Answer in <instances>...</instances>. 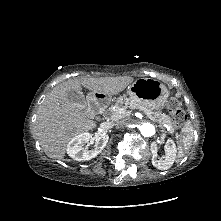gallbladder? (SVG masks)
I'll return each instance as SVG.
<instances>
[{
    "mask_svg": "<svg viewBox=\"0 0 221 221\" xmlns=\"http://www.w3.org/2000/svg\"><path fill=\"white\" fill-rule=\"evenodd\" d=\"M67 98L69 101L79 104H84L86 102L83 94L73 90L67 93Z\"/></svg>",
    "mask_w": 221,
    "mask_h": 221,
    "instance_id": "obj_1",
    "label": "gallbladder"
}]
</instances>
